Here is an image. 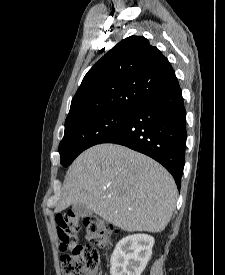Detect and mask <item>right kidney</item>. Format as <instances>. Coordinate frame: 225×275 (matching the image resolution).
Segmentation results:
<instances>
[{
    "label": "right kidney",
    "mask_w": 225,
    "mask_h": 275,
    "mask_svg": "<svg viewBox=\"0 0 225 275\" xmlns=\"http://www.w3.org/2000/svg\"><path fill=\"white\" fill-rule=\"evenodd\" d=\"M154 238L134 234L122 238L111 256L110 275H141L152 255Z\"/></svg>",
    "instance_id": "obj_1"
}]
</instances>
